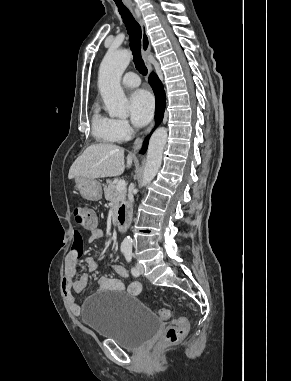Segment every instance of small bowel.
<instances>
[{
    "label": "small bowel",
    "mask_w": 291,
    "mask_h": 381,
    "mask_svg": "<svg viewBox=\"0 0 291 381\" xmlns=\"http://www.w3.org/2000/svg\"><path fill=\"white\" fill-rule=\"evenodd\" d=\"M103 236L100 229L93 230L89 235V242H95L101 239ZM81 248V236L76 234L75 241L72 249L66 256L64 277L62 282V291L65 299L70 307L71 312L74 315H79L81 313V305L76 300V294L82 293L87 287V277L82 276L79 279L76 278L77 274V262L80 258ZM87 265H93V262L89 259L86 260ZM114 272L121 278H127L128 272L122 265H114ZM142 290V285L138 281L131 282L128 286H125L119 279H113L108 277H101L97 282V291H119L127 292L131 295H138Z\"/></svg>",
    "instance_id": "1"
}]
</instances>
